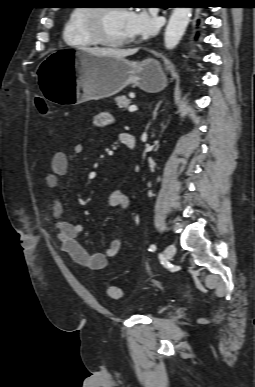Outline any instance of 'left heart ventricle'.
Returning <instances> with one entry per match:
<instances>
[{
	"label": "left heart ventricle",
	"instance_id": "1",
	"mask_svg": "<svg viewBox=\"0 0 255 387\" xmlns=\"http://www.w3.org/2000/svg\"><path fill=\"white\" fill-rule=\"evenodd\" d=\"M128 11L123 9H112L107 11L102 19L105 35L114 40L130 38L127 27Z\"/></svg>",
	"mask_w": 255,
	"mask_h": 387
}]
</instances>
